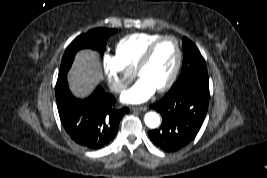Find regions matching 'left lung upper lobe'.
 Masks as SVG:
<instances>
[{
    "label": "left lung upper lobe",
    "instance_id": "1",
    "mask_svg": "<svg viewBox=\"0 0 267 178\" xmlns=\"http://www.w3.org/2000/svg\"><path fill=\"white\" fill-rule=\"evenodd\" d=\"M182 46L184 53L182 72L172 88L190 81H198L208 84L206 64L196 45L187 37H184Z\"/></svg>",
    "mask_w": 267,
    "mask_h": 178
}]
</instances>
